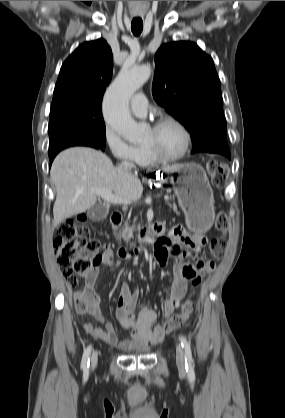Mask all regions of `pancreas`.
Listing matches in <instances>:
<instances>
[{
    "instance_id": "cf45deb5",
    "label": "pancreas",
    "mask_w": 285,
    "mask_h": 418,
    "mask_svg": "<svg viewBox=\"0 0 285 418\" xmlns=\"http://www.w3.org/2000/svg\"><path fill=\"white\" fill-rule=\"evenodd\" d=\"M171 207H173L174 211H177V207L175 204L170 205ZM141 228V225L138 224L137 226L135 225V220L132 226L129 225V220L127 219L124 223L123 226H121L120 231L118 233V238H122L126 243H129L130 246H133L134 243L131 242V239L134 238V231L135 230H139Z\"/></svg>"
}]
</instances>
